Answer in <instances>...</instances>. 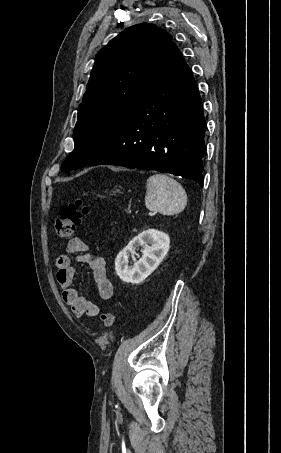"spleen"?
Listing matches in <instances>:
<instances>
[{
    "instance_id": "obj_1",
    "label": "spleen",
    "mask_w": 281,
    "mask_h": 453,
    "mask_svg": "<svg viewBox=\"0 0 281 453\" xmlns=\"http://www.w3.org/2000/svg\"><path fill=\"white\" fill-rule=\"evenodd\" d=\"M187 194L180 182L167 174H152L147 180L145 204L153 212L178 214L186 206Z\"/></svg>"
}]
</instances>
